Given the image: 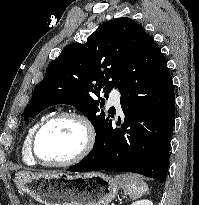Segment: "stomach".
<instances>
[{
  "instance_id": "0dacf381",
  "label": "stomach",
  "mask_w": 199,
  "mask_h": 205,
  "mask_svg": "<svg viewBox=\"0 0 199 205\" xmlns=\"http://www.w3.org/2000/svg\"><path fill=\"white\" fill-rule=\"evenodd\" d=\"M17 188L43 205H108L118 192V182L102 172L77 175L16 174Z\"/></svg>"
}]
</instances>
